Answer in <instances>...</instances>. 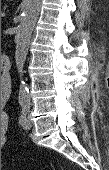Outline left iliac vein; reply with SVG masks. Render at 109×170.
<instances>
[{"label":"left iliac vein","instance_id":"1","mask_svg":"<svg viewBox=\"0 0 109 170\" xmlns=\"http://www.w3.org/2000/svg\"><path fill=\"white\" fill-rule=\"evenodd\" d=\"M31 126H32L31 120L26 116V117L24 118L23 123H22V127H23L24 129H30Z\"/></svg>","mask_w":109,"mask_h":170}]
</instances>
